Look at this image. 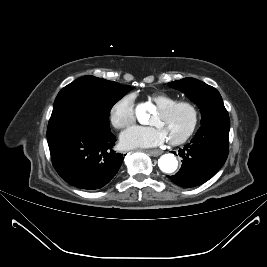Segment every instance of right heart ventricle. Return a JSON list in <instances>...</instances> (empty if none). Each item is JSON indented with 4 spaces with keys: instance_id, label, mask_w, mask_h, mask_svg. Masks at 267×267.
I'll list each match as a JSON object with an SVG mask.
<instances>
[{
    "instance_id": "obj_1",
    "label": "right heart ventricle",
    "mask_w": 267,
    "mask_h": 267,
    "mask_svg": "<svg viewBox=\"0 0 267 267\" xmlns=\"http://www.w3.org/2000/svg\"><path fill=\"white\" fill-rule=\"evenodd\" d=\"M150 100L157 106V108L169 105L177 101L176 98L162 92L152 94L150 96Z\"/></svg>"
}]
</instances>
